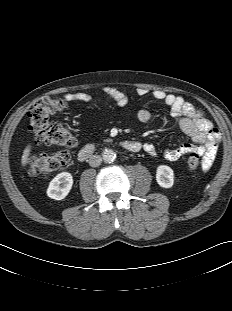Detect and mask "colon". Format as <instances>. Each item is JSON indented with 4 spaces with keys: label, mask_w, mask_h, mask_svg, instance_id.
Instances as JSON below:
<instances>
[{
    "label": "colon",
    "mask_w": 232,
    "mask_h": 311,
    "mask_svg": "<svg viewBox=\"0 0 232 311\" xmlns=\"http://www.w3.org/2000/svg\"><path fill=\"white\" fill-rule=\"evenodd\" d=\"M66 105L67 101L64 98L45 96L38 99L30 111L29 129L33 134L34 143L61 147L56 152L32 157L29 162L31 176L48 175L66 165L70 160L69 149L75 143L73 134L67 127L49 120L52 114L63 110ZM199 165V157L194 154L190 155L187 167L195 170Z\"/></svg>",
    "instance_id": "colon-1"
}]
</instances>
